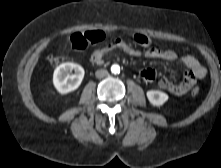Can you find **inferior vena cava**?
Returning a JSON list of instances; mask_svg holds the SVG:
<instances>
[{
  "label": "inferior vena cava",
  "mask_w": 221,
  "mask_h": 168,
  "mask_svg": "<svg viewBox=\"0 0 221 168\" xmlns=\"http://www.w3.org/2000/svg\"><path fill=\"white\" fill-rule=\"evenodd\" d=\"M95 75L97 78L102 79L108 76V71L105 69H99L96 71Z\"/></svg>",
  "instance_id": "1"
}]
</instances>
